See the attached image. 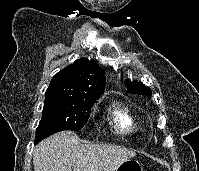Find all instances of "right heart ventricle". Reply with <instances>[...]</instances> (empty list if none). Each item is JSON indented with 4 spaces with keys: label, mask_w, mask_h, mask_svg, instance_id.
Segmentation results:
<instances>
[{
    "label": "right heart ventricle",
    "mask_w": 199,
    "mask_h": 171,
    "mask_svg": "<svg viewBox=\"0 0 199 171\" xmlns=\"http://www.w3.org/2000/svg\"><path fill=\"white\" fill-rule=\"evenodd\" d=\"M110 123L115 131L120 133H133L142 126V121L129 107L114 103L108 111Z\"/></svg>",
    "instance_id": "obj_1"
}]
</instances>
